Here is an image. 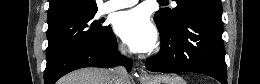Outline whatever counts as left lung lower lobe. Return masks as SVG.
Listing matches in <instances>:
<instances>
[{"mask_svg":"<svg viewBox=\"0 0 260 84\" xmlns=\"http://www.w3.org/2000/svg\"><path fill=\"white\" fill-rule=\"evenodd\" d=\"M160 52L146 62L153 72H196L227 84L221 13L188 11L173 27L156 24Z\"/></svg>","mask_w":260,"mask_h":84,"instance_id":"left-lung-lower-lobe-1","label":"left lung lower lobe"}]
</instances>
